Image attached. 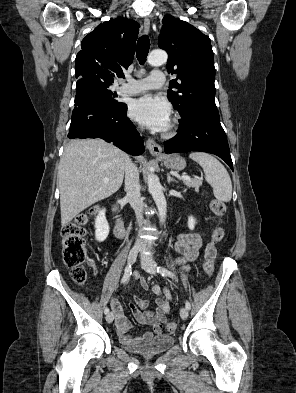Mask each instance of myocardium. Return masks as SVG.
Here are the masks:
<instances>
[{
  "label": "myocardium",
  "instance_id": "myocardium-1",
  "mask_svg": "<svg viewBox=\"0 0 296 393\" xmlns=\"http://www.w3.org/2000/svg\"><path fill=\"white\" fill-rule=\"evenodd\" d=\"M177 123H178L177 118H173L167 131L165 132V136H172L173 135V133L176 129Z\"/></svg>",
  "mask_w": 296,
  "mask_h": 393
}]
</instances>
